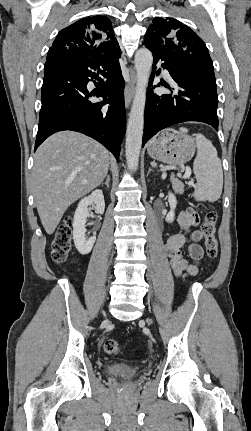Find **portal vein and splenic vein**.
<instances>
[{"instance_id":"1","label":"portal vein and splenic vein","mask_w":251,"mask_h":431,"mask_svg":"<svg viewBox=\"0 0 251 431\" xmlns=\"http://www.w3.org/2000/svg\"><path fill=\"white\" fill-rule=\"evenodd\" d=\"M190 175H191V170H190V168L186 167V171H185L183 178H188V177H190Z\"/></svg>"}]
</instances>
